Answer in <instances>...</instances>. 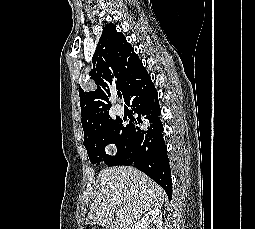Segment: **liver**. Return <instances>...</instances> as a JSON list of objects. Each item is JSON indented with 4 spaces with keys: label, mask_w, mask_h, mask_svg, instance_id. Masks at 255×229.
Masks as SVG:
<instances>
[{
    "label": "liver",
    "mask_w": 255,
    "mask_h": 229,
    "mask_svg": "<svg viewBox=\"0 0 255 229\" xmlns=\"http://www.w3.org/2000/svg\"><path fill=\"white\" fill-rule=\"evenodd\" d=\"M96 188L86 224L112 229H135L141 215L161 208L165 198L158 184L131 166L105 168L96 178ZM120 210L122 216L117 215Z\"/></svg>",
    "instance_id": "1"
}]
</instances>
